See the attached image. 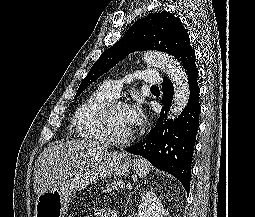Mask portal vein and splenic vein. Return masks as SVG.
<instances>
[{"label":"portal vein and splenic vein","mask_w":255,"mask_h":217,"mask_svg":"<svg viewBox=\"0 0 255 217\" xmlns=\"http://www.w3.org/2000/svg\"><path fill=\"white\" fill-rule=\"evenodd\" d=\"M127 188H128V189H131V188H132V186H131V185H127Z\"/></svg>","instance_id":"18ae733b"}]
</instances>
